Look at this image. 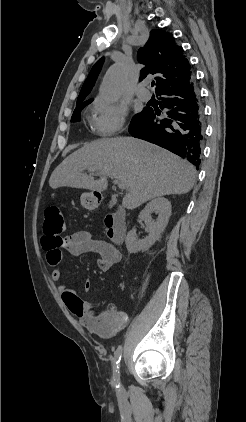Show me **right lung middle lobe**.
I'll list each match as a JSON object with an SVG mask.
<instances>
[{"label":"right lung middle lobe","mask_w":246,"mask_h":422,"mask_svg":"<svg viewBox=\"0 0 246 422\" xmlns=\"http://www.w3.org/2000/svg\"><path fill=\"white\" fill-rule=\"evenodd\" d=\"M89 103H91V102H88V103H85V104L79 105V106H77V107L75 108V110H74V112H73V115H72V118H71V121H72V122H77V121H80V113H81V110H82V109H83L86 105H88ZM142 112H143V111H142ZM142 112H141V113H139V114H137V115H135V116L133 117L132 121H133V120L138 119V118L141 116Z\"/></svg>","instance_id":"dd1d6c3e"}]
</instances>
